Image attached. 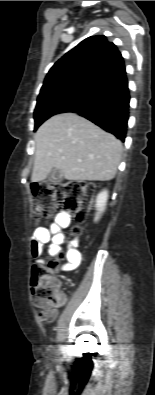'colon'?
<instances>
[{
    "label": "colon",
    "instance_id": "1",
    "mask_svg": "<svg viewBox=\"0 0 155 395\" xmlns=\"http://www.w3.org/2000/svg\"><path fill=\"white\" fill-rule=\"evenodd\" d=\"M95 186L87 181L66 180L54 183H35L32 186L33 213L37 220L48 218L61 207L72 213L78 222H83L89 214ZM79 237L81 229L75 226L70 232ZM59 258L43 259V266L34 265L31 271L32 300L36 307L54 309L64 302V296L58 291L55 272L59 269Z\"/></svg>",
    "mask_w": 155,
    "mask_h": 395
}]
</instances>
